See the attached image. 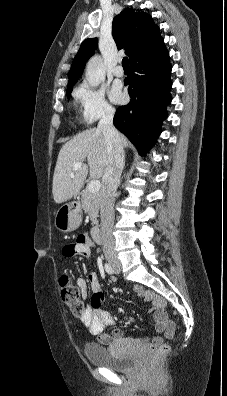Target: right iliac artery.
Instances as JSON below:
<instances>
[{
  "label": "right iliac artery",
  "instance_id": "right-iliac-artery-1",
  "mask_svg": "<svg viewBox=\"0 0 227 396\" xmlns=\"http://www.w3.org/2000/svg\"><path fill=\"white\" fill-rule=\"evenodd\" d=\"M104 268H105V271H106L108 274H113V273H114V270H113V268L111 267L110 264L105 263Z\"/></svg>",
  "mask_w": 227,
  "mask_h": 396
}]
</instances>
